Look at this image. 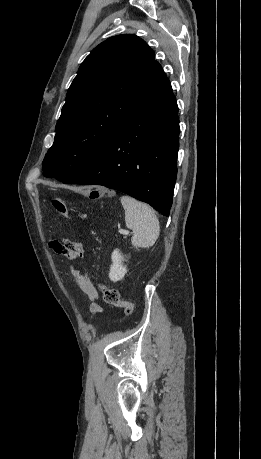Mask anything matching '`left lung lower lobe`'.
<instances>
[{
  "instance_id": "1",
  "label": "left lung lower lobe",
  "mask_w": 261,
  "mask_h": 459,
  "mask_svg": "<svg viewBox=\"0 0 261 459\" xmlns=\"http://www.w3.org/2000/svg\"><path fill=\"white\" fill-rule=\"evenodd\" d=\"M178 136V107L166 78L100 154L63 182L116 189L169 216Z\"/></svg>"
}]
</instances>
